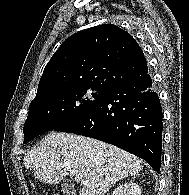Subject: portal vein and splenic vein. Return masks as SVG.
Returning a JSON list of instances; mask_svg holds the SVG:
<instances>
[{
	"instance_id": "1",
	"label": "portal vein and splenic vein",
	"mask_w": 189,
	"mask_h": 195,
	"mask_svg": "<svg viewBox=\"0 0 189 195\" xmlns=\"http://www.w3.org/2000/svg\"><path fill=\"white\" fill-rule=\"evenodd\" d=\"M82 178L80 176H75V180L76 182H82L84 185H88L89 184V181H86V180H81Z\"/></svg>"
}]
</instances>
